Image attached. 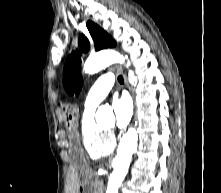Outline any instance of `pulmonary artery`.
Returning <instances> with one entry per match:
<instances>
[{"instance_id": "e3ab8cb5", "label": "pulmonary artery", "mask_w": 221, "mask_h": 193, "mask_svg": "<svg viewBox=\"0 0 221 193\" xmlns=\"http://www.w3.org/2000/svg\"><path fill=\"white\" fill-rule=\"evenodd\" d=\"M114 83V76L111 73L101 75L90 89L86 101L85 109H94L110 92Z\"/></svg>"}]
</instances>
